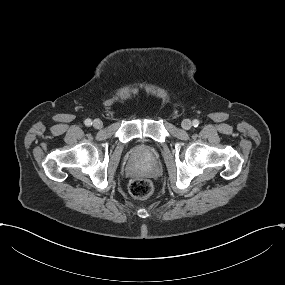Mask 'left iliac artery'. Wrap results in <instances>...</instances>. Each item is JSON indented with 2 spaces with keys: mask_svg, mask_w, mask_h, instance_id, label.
Masks as SVG:
<instances>
[{
  "mask_svg": "<svg viewBox=\"0 0 285 285\" xmlns=\"http://www.w3.org/2000/svg\"><path fill=\"white\" fill-rule=\"evenodd\" d=\"M199 124H200V122L197 119L193 120V126L194 127H198Z\"/></svg>",
  "mask_w": 285,
  "mask_h": 285,
  "instance_id": "left-iliac-artery-1",
  "label": "left iliac artery"
}]
</instances>
